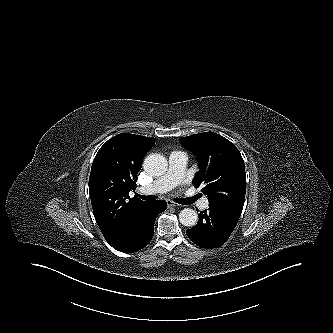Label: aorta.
<instances>
[{"label":"aorta","instance_id":"762f6f07","mask_svg":"<svg viewBox=\"0 0 333 333\" xmlns=\"http://www.w3.org/2000/svg\"><path fill=\"white\" fill-rule=\"evenodd\" d=\"M168 162L166 158L160 154H150L144 159V170L153 177L162 176L167 171ZM179 221L182 225L191 227L198 221V215L195 210L185 208L179 213Z\"/></svg>","mask_w":333,"mask_h":333}]
</instances>
